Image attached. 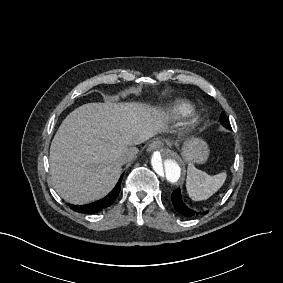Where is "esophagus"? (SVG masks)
Returning a JSON list of instances; mask_svg holds the SVG:
<instances>
[{
	"label": "esophagus",
	"instance_id": "1",
	"mask_svg": "<svg viewBox=\"0 0 283 283\" xmlns=\"http://www.w3.org/2000/svg\"><path fill=\"white\" fill-rule=\"evenodd\" d=\"M162 146H163V142L161 140L157 139V140H154L152 143L149 144L147 151L152 152L154 150H158V149L162 148Z\"/></svg>",
	"mask_w": 283,
	"mask_h": 283
}]
</instances>
